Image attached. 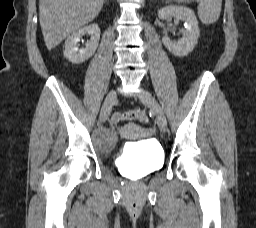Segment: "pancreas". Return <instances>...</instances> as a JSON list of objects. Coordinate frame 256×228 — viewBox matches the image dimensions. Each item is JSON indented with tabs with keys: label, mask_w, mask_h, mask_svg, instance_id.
Here are the masks:
<instances>
[{
	"label": "pancreas",
	"mask_w": 256,
	"mask_h": 228,
	"mask_svg": "<svg viewBox=\"0 0 256 228\" xmlns=\"http://www.w3.org/2000/svg\"><path fill=\"white\" fill-rule=\"evenodd\" d=\"M178 1L183 2V3H189V2H191V0H178Z\"/></svg>",
	"instance_id": "1"
}]
</instances>
